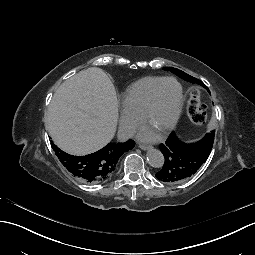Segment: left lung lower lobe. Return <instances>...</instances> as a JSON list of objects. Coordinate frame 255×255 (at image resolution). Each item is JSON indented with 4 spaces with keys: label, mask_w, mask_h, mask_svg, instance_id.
I'll use <instances>...</instances> for the list:
<instances>
[{
    "label": "left lung lower lobe",
    "mask_w": 255,
    "mask_h": 255,
    "mask_svg": "<svg viewBox=\"0 0 255 255\" xmlns=\"http://www.w3.org/2000/svg\"><path fill=\"white\" fill-rule=\"evenodd\" d=\"M207 144H210L209 139L206 143L184 146L173 134L169 135L165 142H161L157 147L165 156L163 165L154 177L169 184L194 177L210 155V147H207Z\"/></svg>",
    "instance_id": "obj_1"
}]
</instances>
